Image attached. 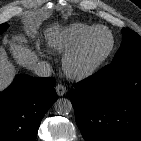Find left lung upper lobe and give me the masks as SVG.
<instances>
[{"instance_id": "1", "label": "left lung upper lobe", "mask_w": 141, "mask_h": 141, "mask_svg": "<svg viewBox=\"0 0 141 141\" xmlns=\"http://www.w3.org/2000/svg\"><path fill=\"white\" fill-rule=\"evenodd\" d=\"M123 41L112 63L141 56V37L128 28L122 29Z\"/></svg>"}]
</instances>
